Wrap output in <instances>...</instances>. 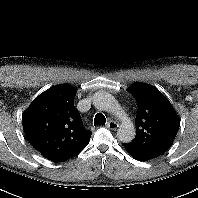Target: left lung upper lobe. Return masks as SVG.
<instances>
[{"label": "left lung upper lobe", "instance_id": "1", "mask_svg": "<svg viewBox=\"0 0 198 198\" xmlns=\"http://www.w3.org/2000/svg\"><path fill=\"white\" fill-rule=\"evenodd\" d=\"M128 92L138 104L136 136L123 145L149 154H163L171 147L179 130L176 112L169 100L152 86L133 83Z\"/></svg>", "mask_w": 198, "mask_h": 198}]
</instances>
